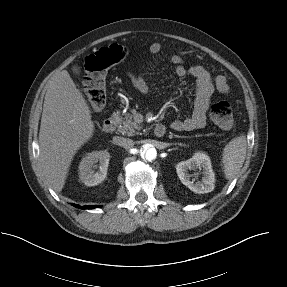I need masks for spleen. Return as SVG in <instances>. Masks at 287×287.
<instances>
[{
	"instance_id": "3e777b00",
	"label": "spleen",
	"mask_w": 287,
	"mask_h": 287,
	"mask_svg": "<svg viewBox=\"0 0 287 287\" xmlns=\"http://www.w3.org/2000/svg\"><path fill=\"white\" fill-rule=\"evenodd\" d=\"M247 152L245 135L233 138L224 148L222 166L228 180L235 178L243 166Z\"/></svg>"
}]
</instances>
